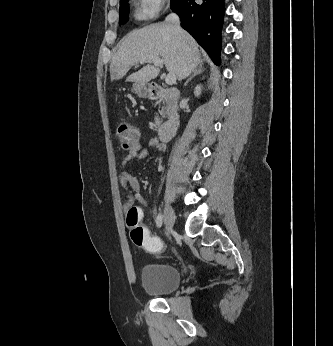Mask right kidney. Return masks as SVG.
Listing matches in <instances>:
<instances>
[{"instance_id":"obj_1","label":"right kidney","mask_w":333,"mask_h":346,"mask_svg":"<svg viewBox=\"0 0 333 346\" xmlns=\"http://www.w3.org/2000/svg\"><path fill=\"white\" fill-rule=\"evenodd\" d=\"M195 96H199L201 94V85H197L194 90Z\"/></svg>"}]
</instances>
